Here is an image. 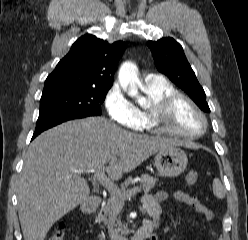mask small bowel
<instances>
[{
	"mask_svg": "<svg viewBox=\"0 0 248 240\" xmlns=\"http://www.w3.org/2000/svg\"><path fill=\"white\" fill-rule=\"evenodd\" d=\"M167 200H174L192 207L197 213L208 221L214 219V213L203 205L196 197L179 190L172 192L161 191L156 194H145L141 200L149 216V220L147 221L152 224L153 229L158 227L160 224L162 214L161 204ZM153 229L150 235V240H158V236L155 232H153Z\"/></svg>",
	"mask_w": 248,
	"mask_h": 240,
	"instance_id": "1",
	"label": "small bowel"
}]
</instances>
